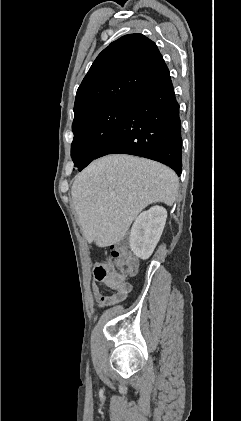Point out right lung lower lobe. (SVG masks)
I'll use <instances>...</instances> for the list:
<instances>
[{
  "mask_svg": "<svg viewBox=\"0 0 241 421\" xmlns=\"http://www.w3.org/2000/svg\"><path fill=\"white\" fill-rule=\"evenodd\" d=\"M114 153L152 159L181 174V120L167 67L130 99L119 128L96 158Z\"/></svg>",
  "mask_w": 241,
  "mask_h": 421,
  "instance_id": "98d812e1",
  "label": "right lung lower lobe"
}]
</instances>
